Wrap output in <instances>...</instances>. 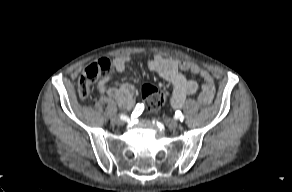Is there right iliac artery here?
I'll return each mask as SVG.
<instances>
[{
	"label": "right iliac artery",
	"instance_id": "obj_1",
	"mask_svg": "<svg viewBox=\"0 0 292 192\" xmlns=\"http://www.w3.org/2000/svg\"><path fill=\"white\" fill-rule=\"evenodd\" d=\"M144 109V105L143 104H137L135 107V110L132 114V122H135L137 120V113L140 114L142 112V110ZM136 113V114H135Z\"/></svg>",
	"mask_w": 292,
	"mask_h": 192
}]
</instances>
